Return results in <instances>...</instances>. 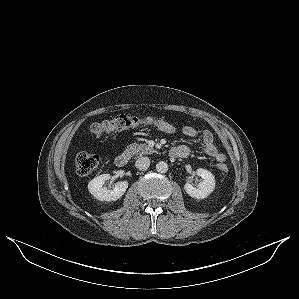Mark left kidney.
I'll return each instance as SVG.
<instances>
[{
    "instance_id": "5707ae66",
    "label": "left kidney",
    "mask_w": 299,
    "mask_h": 299,
    "mask_svg": "<svg viewBox=\"0 0 299 299\" xmlns=\"http://www.w3.org/2000/svg\"><path fill=\"white\" fill-rule=\"evenodd\" d=\"M196 173L198 176L202 177L203 181L199 183L197 187L192 186L190 183H186L184 189L189 196L197 199H204L213 192L215 188V178L213 174L206 169L199 168L196 170Z\"/></svg>"
}]
</instances>
